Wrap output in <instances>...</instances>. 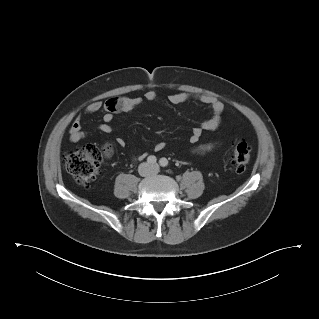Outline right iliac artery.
Masks as SVG:
<instances>
[{"label": "right iliac artery", "instance_id": "obj_1", "mask_svg": "<svg viewBox=\"0 0 319 319\" xmlns=\"http://www.w3.org/2000/svg\"><path fill=\"white\" fill-rule=\"evenodd\" d=\"M156 157L155 156H149L148 158H147V162L149 163V164H154V163H156Z\"/></svg>", "mask_w": 319, "mask_h": 319}]
</instances>
